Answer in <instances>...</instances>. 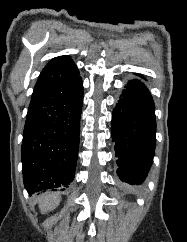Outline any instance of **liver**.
Here are the masks:
<instances>
[{
  "label": "liver",
  "mask_w": 187,
  "mask_h": 242,
  "mask_svg": "<svg viewBox=\"0 0 187 242\" xmlns=\"http://www.w3.org/2000/svg\"><path fill=\"white\" fill-rule=\"evenodd\" d=\"M60 196L55 193H47L39 202V208L43 213L54 210L60 203Z\"/></svg>",
  "instance_id": "1"
}]
</instances>
